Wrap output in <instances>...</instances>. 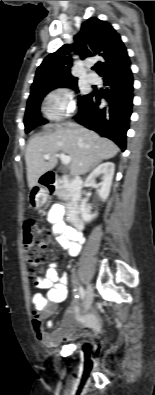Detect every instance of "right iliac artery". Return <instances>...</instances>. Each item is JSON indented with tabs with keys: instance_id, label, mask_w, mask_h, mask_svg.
<instances>
[{
	"instance_id": "82829eb1",
	"label": "right iliac artery",
	"mask_w": 155,
	"mask_h": 395,
	"mask_svg": "<svg viewBox=\"0 0 155 395\" xmlns=\"http://www.w3.org/2000/svg\"><path fill=\"white\" fill-rule=\"evenodd\" d=\"M79 293H80L81 299H84V297H85V290L83 289L82 286L79 287Z\"/></svg>"
}]
</instances>
